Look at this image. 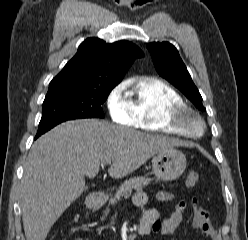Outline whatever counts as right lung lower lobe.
Returning <instances> with one entry per match:
<instances>
[{
  "instance_id": "obj_1",
  "label": "right lung lower lobe",
  "mask_w": 248,
  "mask_h": 240,
  "mask_svg": "<svg viewBox=\"0 0 248 240\" xmlns=\"http://www.w3.org/2000/svg\"><path fill=\"white\" fill-rule=\"evenodd\" d=\"M54 126H56V125L40 126L38 128V131H37V134L35 136V139H37L39 136H41L42 134H44L45 132H47L48 130L53 128Z\"/></svg>"
}]
</instances>
